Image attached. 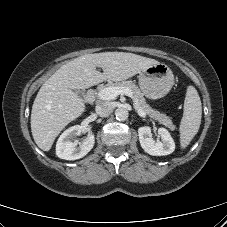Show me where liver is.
<instances>
[{"mask_svg": "<svg viewBox=\"0 0 227 227\" xmlns=\"http://www.w3.org/2000/svg\"><path fill=\"white\" fill-rule=\"evenodd\" d=\"M157 63L133 53L102 52L77 57L61 66L41 86L32 106L31 132L37 146L49 151L65 126L85 111L84 101L73 90L105 80H126Z\"/></svg>", "mask_w": 227, "mask_h": 227, "instance_id": "obj_1", "label": "liver"}]
</instances>
